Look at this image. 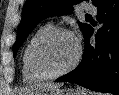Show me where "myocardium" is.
Segmentation results:
<instances>
[{
    "label": "myocardium",
    "mask_w": 119,
    "mask_h": 95,
    "mask_svg": "<svg viewBox=\"0 0 119 95\" xmlns=\"http://www.w3.org/2000/svg\"><path fill=\"white\" fill-rule=\"evenodd\" d=\"M60 34L70 35L75 39L76 45H77L76 56H75L74 60L72 61V63L69 66H67L66 68H64L60 71H57V72H51V71H48L43 66V64L41 62V52L47 42H49L51 39H53L54 37H56L57 35H60ZM81 58H82V47H81L80 42L78 41V39L74 36V34L70 30L63 28V27L52 28L50 31L43 34L35 43V45L32 49V53H31V62H32L33 68L40 75H42L43 77H45L47 79L58 78V77H61L63 75L70 73L79 65Z\"/></svg>",
    "instance_id": "obj_1"
}]
</instances>
